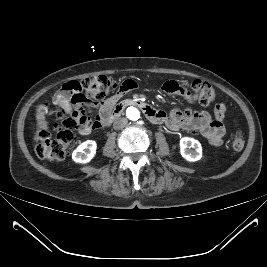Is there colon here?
Wrapping results in <instances>:
<instances>
[{"label":"colon","mask_w":267,"mask_h":267,"mask_svg":"<svg viewBox=\"0 0 267 267\" xmlns=\"http://www.w3.org/2000/svg\"><path fill=\"white\" fill-rule=\"evenodd\" d=\"M79 84L81 90L84 91L83 94L81 93V97L97 102H102L116 85L115 81L106 75L89 77ZM189 88L194 100L201 105H210L217 98L216 90L205 81L194 80ZM48 110V103L40 104L36 109L35 151L41 159L60 161L69 154L75 142V130L88 121L68 115L64 110H58L56 116L59 120V125L56 128V135L53 137L46 121ZM244 145V135L241 131H238L233 138L232 146L239 151Z\"/></svg>","instance_id":"obj_1"}]
</instances>
